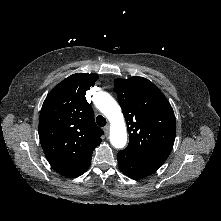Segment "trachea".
<instances>
[{
    "instance_id": "1",
    "label": "trachea",
    "mask_w": 221,
    "mask_h": 221,
    "mask_svg": "<svg viewBox=\"0 0 221 221\" xmlns=\"http://www.w3.org/2000/svg\"><path fill=\"white\" fill-rule=\"evenodd\" d=\"M97 125L104 127L106 125V119L102 115H98L96 118Z\"/></svg>"
}]
</instances>
